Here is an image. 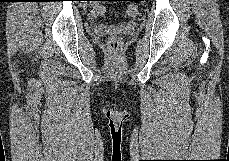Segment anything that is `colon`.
Instances as JSON below:
<instances>
[{"label": "colon", "instance_id": "1", "mask_svg": "<svg viewBox=\"0 0 229 161\" xmlns=\"http://www.w3.org/2000/svg\"><path fill=\"white\" fill-rule=\"evenodd\" d=\"M106 8L100 1H93L91 4V14L95 17H101L105 15ZM125 14L128 17H136L138 14V7L136 5H129L125 9ZM121 40L117 36H112L108 40V47L112 51H116L120 48Z\"/></svg>", "mask_w": 229, "mask_h": 161}]
</instances>
